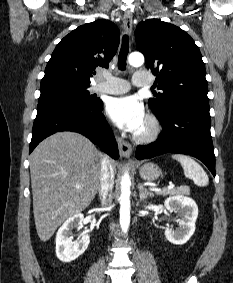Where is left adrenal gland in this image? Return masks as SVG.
<instances>
[{
  "label": "left adrenal gland",
  "mask_w": 233,
  "mask_h": 283,
  "mask_svg": "<svg viewBox=\"0 0 233 283\" xmlns=\"http://www.w3.org/2000/svg\"><path fill=\"white\" fill-rule=\"evenodd\" d=\"M139 198L141 201L145 200L148 196L152 197V193L148 192L141 183L138 184Z\"/></svg>",
  "instance_id": "obj_1"
}]
</instances>
